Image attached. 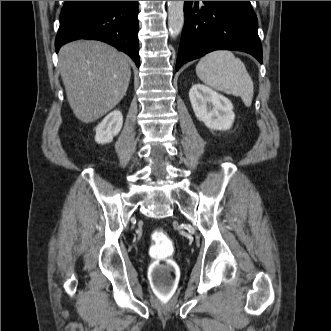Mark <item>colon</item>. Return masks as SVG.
<instances>
[{
    "label": "colon",
    "instance_id": "obj_1",
    "mask_svg": "<svg viewBox=\"0 0 331 331\" xmlns=\"http://www.w3.org/2000/svg\"><path fill=\"white\" fill-rule=\"evenodd\" d=\"M149 281L153 293L160 304H167L173 298L179 281V267L172 258L173 243L169 235L161 229L151 234Z\"/></svg>",
    "mask_w": 331,
    "mask_h": 331
}]
</instances>
